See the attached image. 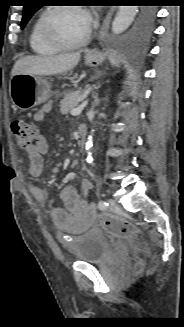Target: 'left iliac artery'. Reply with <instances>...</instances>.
I'll use <instances>...</instances> for the list:
<instances>
[{
	"instance_id": "obj_1",
	"label": "left iliac artery",
	"mask_w": 184,
	"mask_h": 327,
	"mask_svg": "<svg viewBox=\"0 0 184 327\" xmlns=\"http://www.w3.org/2000/svg\"><path fill=\"white\" fill-rule=\"evenodd\" d=\"M108 207V203L101 200L98 202V208L101 209V210H105L106 208Z\"/></svg>"
}]
</instances>
